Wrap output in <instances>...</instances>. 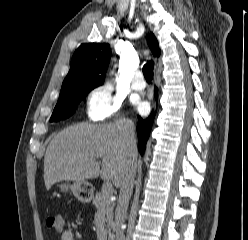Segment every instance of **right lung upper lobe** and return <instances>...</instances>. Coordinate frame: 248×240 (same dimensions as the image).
Masks as SVG:
<instances>
[{"label":"right lung upper lobe","mask_w":248,"mask_h":240,"mask_svg":"<svg viewBox=\"0 0 248 240\" xmlns=\"http://www.w3.org/2000/svg\"><path fill=\"white\" fill-rule=\"evenodd\" d=\"M154 56L159 57L160 49L154 34L147 38ZM111 50L108 43H83L75 51L70 71L63 81L61 91L72 87L95 88L104 81Z\"/></svg>","instance_id":"cb5924a9"}]
</instances>
